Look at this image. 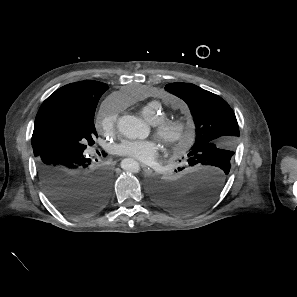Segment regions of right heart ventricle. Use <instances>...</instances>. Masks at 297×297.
Listing matches in <instances>:
<instances>
[{
    "instance_id": "e07e8e85",
    "label": "right heart ventricle",
    "mask_w": 297,
    "mask_h": 297,
    "mask_svg": "<svg viewBox=\"0 0 297 297\" xmlns=\"http://www.w3.org/2000/svg\"><path fill=\"white\" fill-rule=\"evenodd\" d=\"M140 113L151 124L165 116L160 100H152L146 103L141 107Z\"/></svg>"
}]
</instances>
